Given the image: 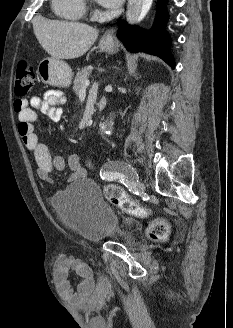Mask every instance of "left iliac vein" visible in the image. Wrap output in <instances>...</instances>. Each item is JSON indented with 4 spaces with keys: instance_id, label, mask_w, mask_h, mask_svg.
Returning a JSON list of instances; mask_svg holds the SVG:
<instances>
[{
    "instance_id": "obj_1",
    "label": "left iliac vein",
    "mask_w": 233,
    "mask_h": 328,
    "mask_svg": "<svg viewBox=\"0 0 233 328\" xmlns=\"http://www.w3.org/2000/svg\"><path fill=\"white\" fill-rule=\"evenodd\" d=\"M123 173L127 176L128 181L137 188L140 193L145 191V185L139 180L137 172L130 166L124 165Z\"/></svg>"
}]
</instances>
